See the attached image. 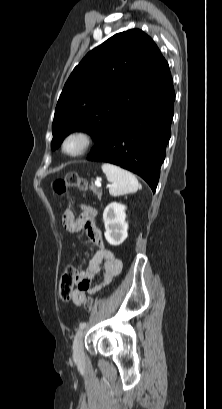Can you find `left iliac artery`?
<instances>
[{"label": "left iliac artery", "mask_w": 222, "mask_h": 409, "mask_svg": "<svg viewBox=\"0 0 222 409\" xmlns=\"http://www.w3.org/2000/svg\"><path fill=\"white\" fill-rule=\"evenodd\" d=\"M85 327H86V322L80 323V325H79L80 330L84 329Z\"/></svg>", "instance_id": "1"}]
</instances>
